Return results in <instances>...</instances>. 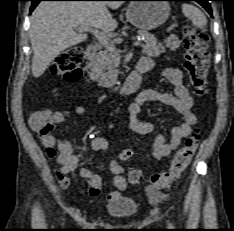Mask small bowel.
Instances as JSON below:
<instances>
[{"label": "small bowel", "instance_id": "1", "mask_svg": "<svg viewBox=\"0 0 234 231\" xmlns=\"http://www.w3.org/2000/svg\"><path fill=\"white\" fill-rule=\"evenodd\" d=\"M139 63L148 64L151 69L157 66L150 58H142ZM163 74L172 84L173 92L163 93L152 89L140 92L129 106V117L127 119L128 126L132 131L145 135L155 133V127L152 123L137 118L143 104L160 102L175 108L181 114L182 122L171 129L169 141H166L162 134H155L152 143V156L156 160L163 159L175 151L182 140L193 132L197 122V118L192 111L193 99L183 83L182 71L177 67H165L163 68ZM83 112L82 107H78L73 111L75 114H82ZM68 114L70 112L53 114L47 109L38 110L31 115L30 125L32 130L40 137L47 156L50 158L55 157L57 160L59 167L56 170V177L60 186L69 189L71 181L68 174L77 171L78 175L86 180V193L90 196H97L102 189L101 177L90 169L79 166V158L73 153V147L68 138L62 137L56 140L52 134L55 125L63 122ZM113 127L114 124L109 125V128ZM91 148L95 151L107 152L109 150V141L104 136L95 137L91 141ZM110 168L114 175L113 183L116 190L108 194L107 200L113 202L119 198L121 192L126 190L127 182L123 176L124 168L117 159L111 160Z\"/></svg>", "mask_w": 234, "mask_h": 231}]
</instances>
